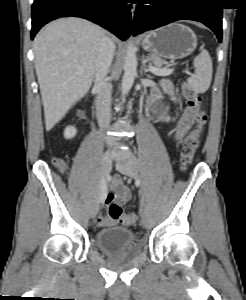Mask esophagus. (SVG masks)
I'll return each instance as SVG.
<instances>
[{
	"mask_svg": "<svg viewBox=\"0 0 246 300\" xmlns=\"http://www.w3.org/2000/svg\"><path fill=\"white\" fill-rule=\"evenodd\" d=\"M130 11H131V15L133 17L134 15V11H135V4L129 5Z\"/></svg>",
	"mask_w": 246,
	"mask_h": 300,
	"instance_id": "obj_1",
	"label": "esophagus"
}]
</instances>
